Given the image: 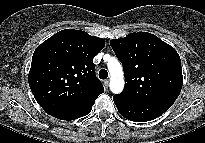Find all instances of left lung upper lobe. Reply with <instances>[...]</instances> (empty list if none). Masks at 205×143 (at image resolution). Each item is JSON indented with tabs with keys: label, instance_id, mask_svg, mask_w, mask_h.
<instances>
[{
	"label": "left lung upper lobe",
	"instance_id": "1",
	"mask_svg": "<svg viewBox=\"0 0 205 143\" xmlns=\"http://www.w3.org/2000/svg\"><path fill=\"white\" fill-rule=\"evenodd\" d=\"M110 45L123 64V100L144 103L179 96L183 76L177 51L157 36L147 32L130 33L113 39Z\"/></svg>",
	"mask_w": 205,
	"mask_h": 143
}]
</instances>
